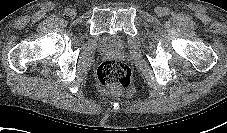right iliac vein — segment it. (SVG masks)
I'll list each match as a JSON object with an SVG mask.
<instances>
[{
  "label": "right iliac vein",
  "instance_id": "63e3f726",
  "mask_svg": "<svg viewBox=\"0 0 227 133\" xmlns=\"http://www.w3.org/2000/svg\"><path fill=\"white\" fill-rule=\"evenodd\" d=\"M71 18H74L76 16V11L74 9H71L69 14H68Z\"/></svg>",
  "mask_w": 227,
  "mask_h": 133
}]
</instances>
